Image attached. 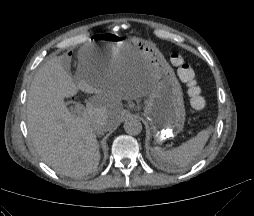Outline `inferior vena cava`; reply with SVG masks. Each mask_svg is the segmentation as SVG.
I'll use <instances>...</instances> for the list:
<instances>
[{
  "label": "inferior vena cava",
  "mask_w": 254,
  "mask_h": 216,
  "mask_svg": "<svg viewBox=\"0 0 254 216\" xmlns=\"http://www.w3.org/2000/svg\"><path fill=\"white\" fill-rule=\"evenodd\" d=\"M92 128L97 133H102V132L106 131V129H107V127H106V120H104V119L97 120L92 125Z\"/></svg>",
  "instance_id": "1"
}]
</instances>
